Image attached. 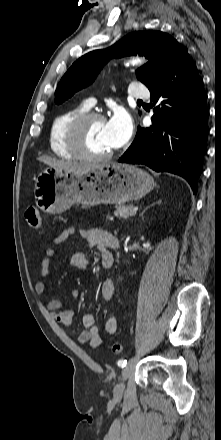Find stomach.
Listing matches in <instances>:
<instances>
[{
	"mask_svg": "<svg viewBox=\"0 0 221 440\" xmlns=\"http://www.w3.org/2000/svg\"><path fill=\"white\" fill-rule=\"evenodd\" d=\"M154 185L146 171L133 165L103 164L79 174L49 167L38 175L34 196L42 211L59 214L75 203L122 204L139 200Z\"/></svg>",
	"mask_w": 221,
	"mask_h": 440,
	"instance_id": "stomach-1",
	"label": "stomach"
}]
</instances>
